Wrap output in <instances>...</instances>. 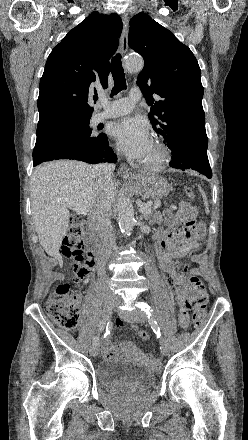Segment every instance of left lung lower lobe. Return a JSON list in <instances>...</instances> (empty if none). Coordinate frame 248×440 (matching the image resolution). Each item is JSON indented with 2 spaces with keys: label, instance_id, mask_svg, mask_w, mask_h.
<instances>
[{
  "label": "left lung lower lobe",
  "instance_id": "1",
  "mask_svg": "<svg viewBox=\"0 0 248 440\" xmlns=\"http://www.w3.org/2000/svg\"><path fill=\"white\" fill-rule=\"evenodd\" d=\"M172 153L171 167L182 170L192 169L208 178L212 177L207 150L181 146L172 150Z\"/></svg>",
  "mask_w": 248,
  "mask_h": 440
}]
</instances>
